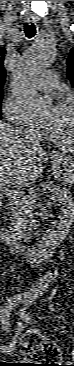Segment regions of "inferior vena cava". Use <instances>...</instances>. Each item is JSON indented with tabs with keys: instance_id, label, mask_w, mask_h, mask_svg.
Masks as SVG:
<instances>
[{
	"instance_id": "1",
	"label": "inferior vena cava",
	"mask_w": 74,
	"mask_h": 366,
	"mask_svg": "<svg viewBox=\"0 0 74 366\" xmlns=\"http://www.w3.org/2000/svg\"><path fill=\"white\" fill-rule=\"evenodd\" d=\"M26 137L31 138L35 141L37 145H39V138L31 131H25Z\"/></svg>"
}]
</instances>
